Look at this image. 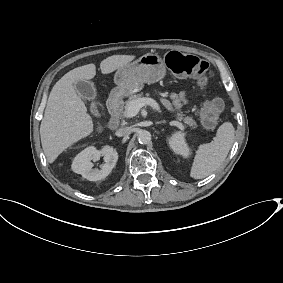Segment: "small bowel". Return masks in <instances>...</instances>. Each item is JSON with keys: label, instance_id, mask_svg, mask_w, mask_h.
Masks as SVG:
<instances>
[{"label": "small bowel", "instance_id": "obj_1", "mask_svg": "<svg viewBox=\"0 0 283 283\" xmlns=\"http://www.w3.org/2000/svg\"><path fill=\"white\" fill-rule=\"evenodd\" d=\"M186 101L185 92H173L170 94V100H164V104L170 109H178L186 103Z\"/></svg>", "mask_w": 283, "mask_h": 283}]
</instances>
